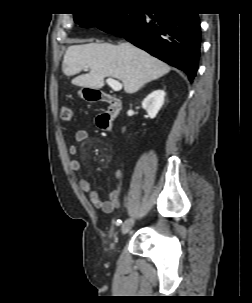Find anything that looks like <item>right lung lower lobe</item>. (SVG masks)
Returning <instances> with one entry per match:
<instances>
[{
  "label": "right lung lower lobe",
  "instance_id": "1",
  "mask_svg": "<svg viewBox=\"0 0 252 303\" xmlns=\"http://www.w3.org/2000/svg\"><path fill=\"white\" fill-rule=\"evenodd\" d=\"M151 18H149L148 16ZM101 30L124 37L135 46L184 71L192 82L198 68L201 29L197 14L166 10L131 13Z\"/></svg>",
  "mask_w": 252,
  "mask_h": 303
}]
</instances>
